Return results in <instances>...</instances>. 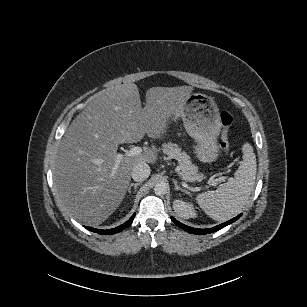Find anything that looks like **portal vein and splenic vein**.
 <instances>
[{"mask_svg": "<svg viewBox=\"0 0 307 307\" xmlns=\"http://www.w3.org/2000/svg\"><path fill=\"white\" fill-rule=\"evenodd\" d=\"M143 153V147L142 146H135L133 147L130 151H129V155L130 156H136V155H140ZM181 180H183V178H180ZM226 177H222V180H225ZM230 180V178H229ZM208 185H211V186H215L216 185V182L212 181V182H208L207 183Z\"/></svg>", "mask_w": 307, "mask_h": 307, "instance_id": "1", "label": "portal vein and splenic vein"}]
</instances>
